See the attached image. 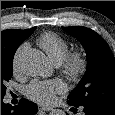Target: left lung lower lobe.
Here are the masks:
<instances>
[{
    "label": "left lung lower lobe",
    "mask_w": 115,
    "mask_h": 115,
    "mask_svg": "<svg viewBox=\"0 0 115 115\" xmlns=\"http://www.w3.org/2000/svg\"><path fill=\"white\" fill-rule=\"evenodd\" d=\"M69 105L76 107L70 103ZM83 111L85 115H115V111L108 110L103 107H98V106H82ZM71 110H76L75 108H72Z\"/></svg>",
    "instance_id": "1"
}]
</instances>
